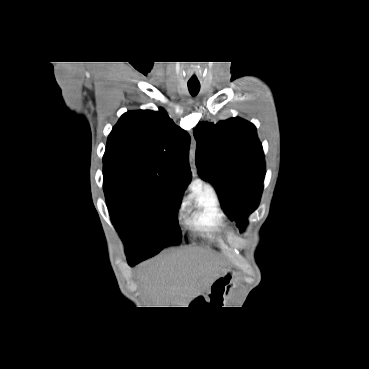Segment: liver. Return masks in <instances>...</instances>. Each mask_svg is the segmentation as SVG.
I'll list each match as a JSON object with an SVG mask.
<instances>
[{"label":"liver","mask_w":369,"mask_h":369,"mask_svg":"<svg viewBox=\"0 0 369 369\" xmlns=\"http://www.w3.org/2000/svg\"><path fill=\"white\" fill-rule=\"evenodd\" d=\"M219 263L218 257L199 247L185 248L151 262L140 274L148 304L175 305L201 287L209 286L219 276Z\"/></svg>","instance_id":"1"}]
</instances>
